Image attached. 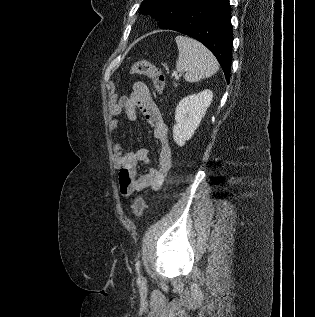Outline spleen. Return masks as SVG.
I'll return each instance as SVG.
<instances>
[{
	"label": "spleen",
	"instance_id": "3e777b00",
	"mask_svg": "<svg viewBox=\"0 0 315 317\" xmlns=\"http://www.w3.org/2000/svg\"><path fill=\"white\" fill-rule=\"evenodd\" d=\"M175 41L179 51L176 70L180 74L186 72L184 79L187 82H198L217 73L218 61L203 44L181 35L177 36Z\"/></svg>",
	"mask_w": 315,
	"mask_h": 317
}]
</instances>
